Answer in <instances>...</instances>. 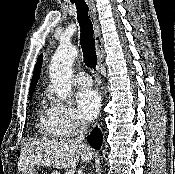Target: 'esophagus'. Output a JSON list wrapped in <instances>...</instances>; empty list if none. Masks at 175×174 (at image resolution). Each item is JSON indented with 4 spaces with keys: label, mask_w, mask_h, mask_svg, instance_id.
<instances>
[{
    "label": "esophagus",
    "mask_w": 175,
    "mask_h": 174,
    "mask_svg": "<svg viewBox=\"0 0 175 174\" xmlns=\"http://www.w3.org/2000/svg\"><path fill=\"white\" fill-rule=\"evenodd\" d=\"M87 2L93 17L95 46H96V52L98 56V62H99V65H101L104 57L103 39L101 37L100 26L98 24V20L96 17V9H95L94 3L92 0H87Z\"/></svg>",
    "instance_id": "34e87169"
}]
</instances>
